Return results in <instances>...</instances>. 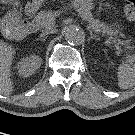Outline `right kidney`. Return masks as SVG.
I'll return each mask as SVG.
<instances>
[{
  "instance_id": "ca27d5eb",
  "label": "right kidney",
  "mask_w": 135,
  "mask_h": 135,
  "mask_svg": "<svg viewBox=\"0 0 135 135\" xmlns=\"http://www.w3.org/2000/svg\"><path fill=\"white\" fill-rule=\"evenodd\" d=\"M41 65V58L35 55L22 58L17 64L18 73L23 77L32 75Z\"/></svg>"
}]
</instances>
